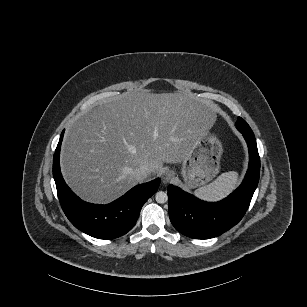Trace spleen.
I'll return each instance as SVG.
<instances>
[{
    "label": "spleen",
    "mask_w": 307,
    "mask_h": 307,
    "mask_svg": "<svg viewBox=\"0 0 307 307\" xmlns=\"http://www.w3.org/2000/svg\"><path fill=\"white\" fill-rule=\"evenodd\" d=\"M238 184V173L229 171L221 174L209 185L195 190V195L203 200L217 201L228 195Z\"/></svg>",
    "instance_id": "obj_1"
}]
</instances>
